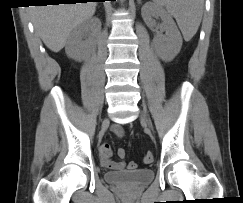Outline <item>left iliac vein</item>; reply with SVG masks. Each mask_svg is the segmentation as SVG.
Segmentation results:
<instances>
[{
    "label": "left iliac vein",
    "instance_id": "1",
    "mask_svg": "<svg viewBox=\"0 0 243 203\" xmlns=\"http://www.w3.org/2000/svg\"><path fill=\"white\" fill-rule=\"evenodd\" d=\"M141 120L143 122H145L149 127H151V121L150 119L147 117L146 113H142L141 114Z\"/></svg>",
    "mask_w": 243,
    "mask_h": 203
}]
</instances>
